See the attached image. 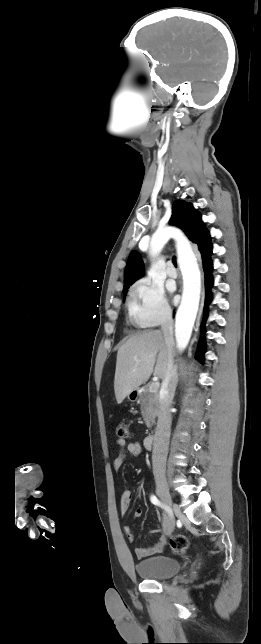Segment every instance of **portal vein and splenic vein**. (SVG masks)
<instances>
[{"instance_id": "obj_1", "label": "portal vein and splenic vein", "mask_w": 261, "mask_h": 644, "mask_svg": "<svg viewBox=\"0 0 261 644\" xmlns=\"http://www.w3.org/2000/svg\"><path fill=\"white\" fill-rule=\"evenodd\" d=\"M136 363H138V361H136ZM159 386H160L159 382H154L149 386V391L152 393L157 392L159 389Z\"/></svg>"}]
</instances>
